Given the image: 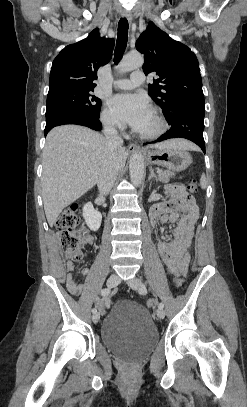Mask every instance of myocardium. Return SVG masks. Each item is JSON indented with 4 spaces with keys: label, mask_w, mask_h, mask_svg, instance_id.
Listing matches in <instances>:
<instances>
[{
    "label": "myocardium",
    "mask_w": 247,
    "mask_h": 407,
    "mask_svg": "<svg viewBox=\"0 0 247 407\" xmlns=\"http://www.w3.org/2000/svg\"><path fill=\"white\" fill-rule=\"evenodd\" d=\"M150 113L154 116L158 123V128L151 133H142L137 130H134V133L141 139L144 140H155L162 136L168 129V124L163 115L157 109H151Z\"/></svg>",
    "instance_id": "f54148a6"
}]
</instances>
